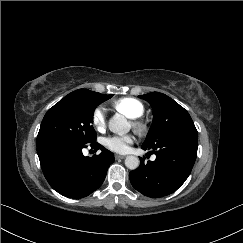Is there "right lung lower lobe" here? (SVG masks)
I'll return each mask as SVG.
<instances>
[{"label": "right lung lower lobe", "mask_w": 243, "mask_h": 243, "mask_svg": "<svg viewBox=\"0 0 243 243\" xmlns=\"http://www.w3.org/2000/svg\"><path fill=\"white\" fill-rule=\"evenodd\" d=\"M85 145L71 142H49L37 146L42 171L50 186L69 198H83L98 189L114 162L112 152L99 143L91 147L100 149L99 155L85 157Z\"/></svg>", "instance_id": "obj_1"}]
</instances>
